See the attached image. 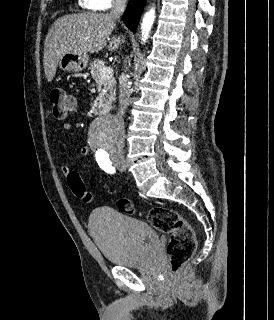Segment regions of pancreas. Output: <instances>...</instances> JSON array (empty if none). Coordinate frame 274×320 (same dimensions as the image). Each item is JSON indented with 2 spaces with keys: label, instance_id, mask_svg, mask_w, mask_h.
<instances>
[{
  "label": "pancreas",
  "instance_id": "pancreas-1",
  "mask_svg": "<svg viewBox=\"0 0 274 320\" xmlns=\"http://www.w3.org/2000/svg\"><path fill=\"white\" fill-rule=\"evenodd\" d=\"M102 68H105V66H103L102 60H94V62L90 64L89 70H91V76L93 80H95L96 84H98L99 92H101V94H104V98H101L103 102L102 110H106V112H108V110L112 108V102H115L116 80L115 78H112V76L111 78H106V80H102L99 72V70H102Z\"/></svg>",
  "mask_w": 274,
  "mask_h": 320
}]
</instances>
